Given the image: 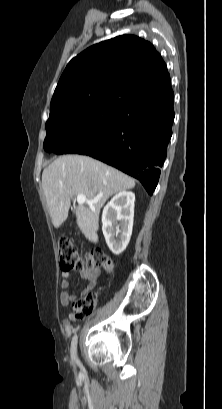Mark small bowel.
<instances>
[{
  "instance_id": "c3829d8e",
  "label": "small bowel",
  "mask_w": 222,
  "mask_h": 409,
  "mask_svg": "<svg viewBox=\"0 0 222 409\" xmlns=\"http://www.w3.org/2000/svg\"><path fill=\"white\" fill-rule=\"evenodd\" d=\"M99 274H100V269L98 267L92 270H84L80 273L81 278L87 282V285L84 289V293L91 291L95 287ZM62 276H63V279L61 280V288L63 289V291L60 294V303L63 306H68L71 300L73 299V295L67 291V289L70 286V280H69L70 273L63 271ZM73 321H74V317L72 316V314H70L67 319L63 320L62 324H63V328L66 334L72 333L74 329L73 324H72Z\"/></svg>"
}]
</instances>
